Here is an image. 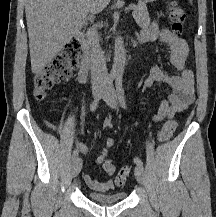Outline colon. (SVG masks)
<instances>
[{"label":"colon","mask_w":216,"mask_h":217,"mask_svg":"<svg viewBox=\"0 0 216 217\" xmlns=\"http://www.w3.org/2000/svg\"><path fill=\"white\" fill-rule=\"evenodd\" d=\"M169 20L172 31L176 34L183 32L186 13L184 9L175 2L171 3L169 8ZM81 45L77 40L69 41L62 51L56 55L42 70L34 77V97L38 101L46 98L47 92L59 81L66 80L71 77L78 64V56ZM114 120L108 117L103 122L104 129H111ZM177 128V120L175 118L168 119L161 127L158 133L159 142L168 141ZM105 172L112 173L114 166L112 161H106L103 165ZM130 168L123 167L116 173V182L123 185L129 175Z\"/></svg>","instance_id":"obj_1"}]
</instances>
